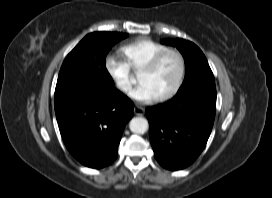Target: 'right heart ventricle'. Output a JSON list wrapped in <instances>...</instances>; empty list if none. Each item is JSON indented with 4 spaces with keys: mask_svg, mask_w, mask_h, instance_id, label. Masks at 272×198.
Instances as JSON below:
<instances>
[{
    "mask_svg": "<svg viewBox=\"0 0 272 198\" xmlns=\"http://www.w3.org/2000/svg\"><path fill=\"white\" fill-rule=\"evenodd\" d=\"M168 48L150 38H139L125 44L121 50L129 67L135 72H140L157 53Z\"/></svg>",
    "mask_w": 272,
    "mask_h": 198,
    "instance_id": "e07e8e85",
    "label": "right heart ventricle"
}]
</instances>
